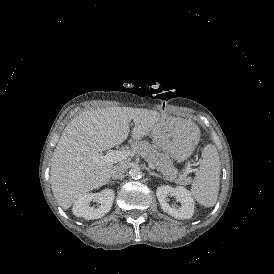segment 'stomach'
<instances>
[{
	"label": "stomach",
	"mask_w": 274,
	"mask_h": 274,
	"mask_svg": "<svg viewBox=\"0 0 274 274\" xmlns=\"http://www.w3.org/2000/svg\"><path fill=\"white\" fill-rule=\"evenodd\" d=\"M159 124L160 128L152 132L156 146L177 162L187 159L199 142V129L194 130L193 123L174 121L166 115H161Z\"/></svg>",
	"instance_id": "stomach-1"
}]
</instances>
